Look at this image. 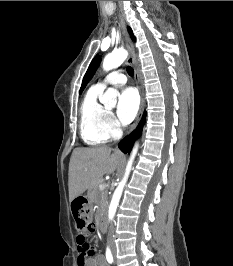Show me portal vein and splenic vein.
Listing matches in <instances>:
<instances>
[{
	"label": "portal vein and splenic vein",
	"mask_w": 233,
	"mask_h": 266,
	"mask_svg": "<svg viewBox=\"0 0 233 266\" xmlns=\"http://www.w3.org/2000/svg\"><path fill=\"white\" fill-rule=\"evenodd\" d=\"M105 187H106V186H105V184H103V183H101V184L99 185V189H100V190H104Z\"/></svg>",
	"instance_id": "1"
}]
</instances>
